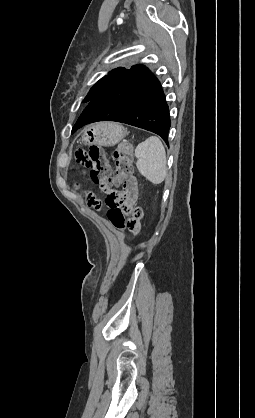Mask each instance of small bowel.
Listing matches in <instances>:
<instances>
[{
  "instance_id": "obj_1",
  "label": "small bowel",
  "mask_w": 255,
  "mask_h": 418,
  "mask_svg": "<svg viewBox=\"0 0 255 418\" xmlns=\"http://www.w3.org/2000/svg\"><path fill=\"white\" fill-rule=\"evenodd\" d=\"M138 194V185L135 178H130L124 185L122 195L127 207H131Z\"/></svg>"
}]
</instances>
